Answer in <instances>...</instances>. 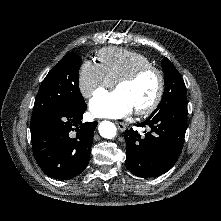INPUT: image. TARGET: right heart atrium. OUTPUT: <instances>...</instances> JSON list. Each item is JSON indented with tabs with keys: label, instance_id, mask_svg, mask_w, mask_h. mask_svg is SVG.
<instances>
[{
	"label": "right heart atrium",
	"instance_id": "obj_1",
	"mask_svg": "<svg viewBox=\"0 0 221 221\" xmlns=\"http://www.w3.org/2000/svg\"><path fill=\"white\" fill-rule=\"evenodd\" d=\"M115 81L95 62L85 61L78 73V89L83 97L89 98L96 92L112 87Z\"/></svg>",
	"mask_w": 221,
	"mask_h": 221
}]
</instances>
